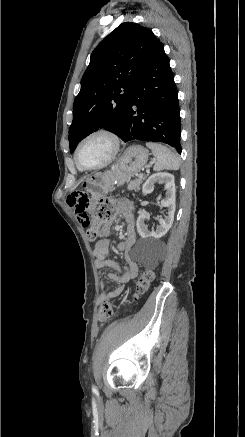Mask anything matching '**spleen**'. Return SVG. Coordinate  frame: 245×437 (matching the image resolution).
Instances as JSON below:
<instances>
[{
  "mask_svg": "<svg viewBox=\"0 0 245 437\" xmlns=\"http://www.w3.org/2000/svg\"><path fill=\"white\" fill-rule=\"evenodd\" d=\"M146 146L152 150V153L156 158V163L153 167L154 171L179 169V157L169 148L154 142H147Z\"/></svg>",
  "mask_w": 245,
  "mask_h": 437,
  "instance_id": "3e777b00",
  "label": "spleen"
}]
</instances>
